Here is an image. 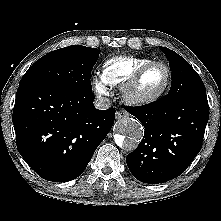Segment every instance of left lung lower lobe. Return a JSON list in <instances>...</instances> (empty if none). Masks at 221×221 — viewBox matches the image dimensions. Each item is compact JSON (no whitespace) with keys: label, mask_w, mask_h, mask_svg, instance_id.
Segmentation results:
<instances>
[{"label":"left lung lower lobe","mask_w":221,"mask_h":221,"mask_svg":"<svg viewBox=\"0 0 221 221\" xmlns=\"http://www.w3.org/2000/svg\"><path fill=\"white\" fill-rule=\"evenodd\" d=\"M125 110L145 127L142 141L126 157L129 170L139 181L158 184L176 178L201 150L209 117L206 94Z\"/></svg>","instance_id":"left-lung-lower-lobe-1"}]
</instances>
